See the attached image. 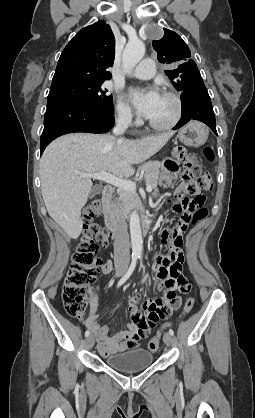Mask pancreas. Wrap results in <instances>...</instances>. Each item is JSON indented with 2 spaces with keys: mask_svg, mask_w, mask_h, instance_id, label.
Returning <instances> with one entry per match:
<instances>
[{
  "mask_svg": "<svg viewBox=\"0 0 255 418\" xmlns=\"http://www.w3.org/2000/svg\"><path fill=\"white\" fill-rule=\"evenodd\" d=\"M140 172L144 174L146 184L151 185L152 189H156L160 175V162L149 161L141 167ZM140 206L141 202L134 192L127 190H121L119 192V203L117 204V208L124 214H127L131 209L139 208Z\"/></svg>",
  "mask_w": 255,
  "mask_h": 418,
  "instance_id": "pancreas-1",
  "label": "pancreas"
}]
</instances>
